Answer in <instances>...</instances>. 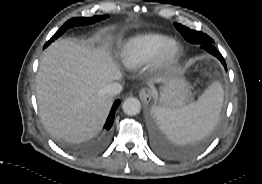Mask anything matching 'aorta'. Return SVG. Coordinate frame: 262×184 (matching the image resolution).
I'll return each mask as SVG.
<instances>
[{
	"instance_id": "1",
	"label": "aorta",
	"mask_w": 262,
	"mask_h": 184,
	"mask_svg": "<svg viewBox=\"0 0 262 184\" xmlns=\"http://www.w3.org/2000/svg\"><path fill=\"white\" fill-rule=\"evenodd\" d=\"M122 109L125 114L134 116L140 113L141 104L140 101L135 97H128L122 104Z\"/></svg>"
}]
</instances>
